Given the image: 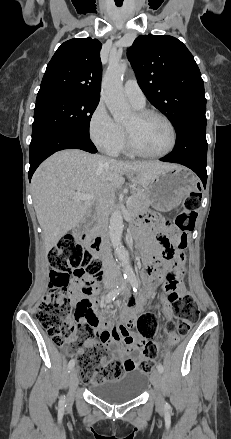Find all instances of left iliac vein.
Here are the masks:
<instances>
[{
    "mask_svg": "<svg viewBox=\"0 0 231 439\" xmlns=\"http://www.w3.org/2000/svg\"><path fill=\"white\" fill-rule=\"evenodd\" d=\"M119 285H123V281H121L119 283ZM124 294L126 296L130 295V290L128 287H125ZM151 383H152V385L155 389V392H156V405L158 408H161L164 405V400H163L161 393H160V387H161V372L160 371L155 370L152 372Z\"/></svg>",
    "mask_w": 231,
    "mask_h": 439,
    "instance_id": "obj_1",
    "label": "left iliac vein"
}]
</instances>
